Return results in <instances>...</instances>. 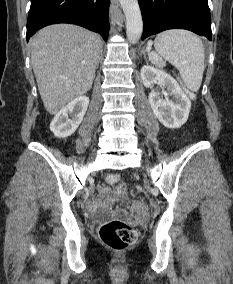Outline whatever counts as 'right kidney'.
<instances>
[{
	"label": "right kidney",
	"mask_w": 233,
	"mask_h": 284,
	"mask_svg": "<svg viewBox=\"0 0 233 284\" xmlns=\"http://www.w3.org/2000/svg\"><path fill=\"white\" fill-rule=\"evenodd\" d=\"M89 105V98L79 96L60 110L50 124V130L58 138L71 136L81 124Z\"/></svg>",
	"instance_id": "1"
}]
</instances>
